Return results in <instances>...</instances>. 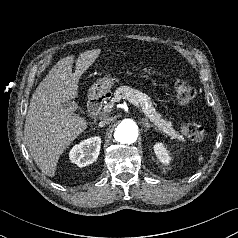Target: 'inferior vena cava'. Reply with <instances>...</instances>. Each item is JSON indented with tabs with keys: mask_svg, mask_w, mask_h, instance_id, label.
I'll return each mask as SVG.
<instances>
[{
	"mask_svg": "<svg viewBox=\"0 0 238 238\" xmlns=\"http://www.w3.org/2000/svg\"><path fill=\"white\" fill-rule=\"evenodd\" d=\"M110 121H111V118H109V117H104V119H103V121H101L100 123H99V126H105L106 124H108V123H110Z\"/></svg>",
	"mask_w": 238,
	"mask_h": 238,
	"instance_id": "1",
	"label": "inferior vena cava"
}]
</instances>
